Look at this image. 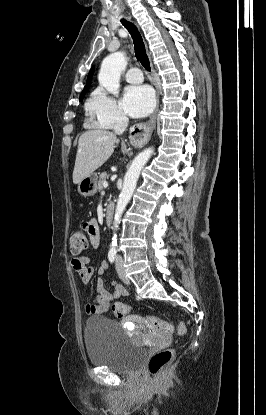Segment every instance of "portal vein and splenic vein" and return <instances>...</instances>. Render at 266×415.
I'll return each instance as SVG.
<instances>
[{"mask_svg":"<svg viewBox=\"0 0 266 415\" xmlns=\"http://www.w3.org/2000/svg\"><path fill=\"white\" fill-rule=\"evenodd\" d=\"M102 185H103L104 188H106V187H108V182L104 181Z\"/></svg>","mask_w":266,"mask_h":415,"instance_id":"1","label":"portal vein and splenic vein"}]
</instances>
